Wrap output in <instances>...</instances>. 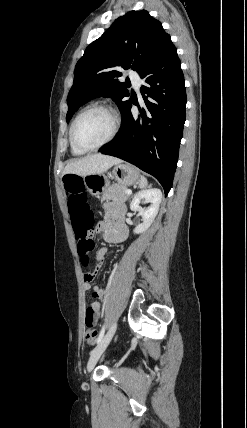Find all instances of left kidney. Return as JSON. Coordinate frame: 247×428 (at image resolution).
<instances>
[{
    "instance_id": "5707ae66",
    "label": "left kidney",
    "mask_w": 247,
    "mask_h": 428,
    "mask_svg": "<svg viewBox=\"0 0 247 428\" xmlns=\"http://www.w3.org/2000/svg\"><path fill=\"white\" fill-rule=\"evenodd\" d=\"M162 199V192L158 188H151L138 192L130 203V209L132 211H138L142 216V223L139 224L135 229L134 233L139 234L145 232L150 225L153 223L158 211ZM150 203L145 209L140 207L141 203Z\"/></svg>"
}]
</instances>
